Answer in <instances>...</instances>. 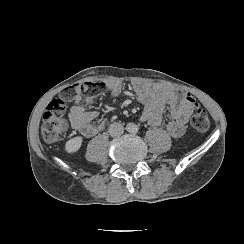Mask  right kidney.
Masks as SVG:
<instances>
[{
  "label": "right kidney",
  "instance_id": "1",
  "mask_svg": "<svg viewBox=\"0 0 244 244\" xmlns=\"http://www.w3.org/2000/svg\"><path fill=\"white\" fill-rule=\"evenodd\" d=\"M82 137L77 136L66 142L65 149L68 153H73L79 150L82 144Z\"/></svg>",
  "mask_w": 244,
  "mask_h": 244
}]
</instances>
